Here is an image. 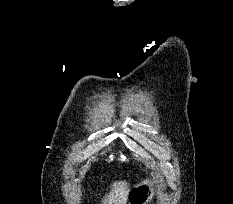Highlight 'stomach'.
<instances>
[{"mask_svg":"<svg viewBox=\"0 0 233 204\" xmlns=\"http://www.w3.org/2000/svg\"><path fill=\"white\" fill-rule=\"evenodd\" d=\"M155 193V187L150 179H146L139 184L129 188L127 194L128 204H147Z\"/></svg>","mask_w":233,"mask_h":204,"instance_id":"obj_1","label":"stomach"}]
</instances>
